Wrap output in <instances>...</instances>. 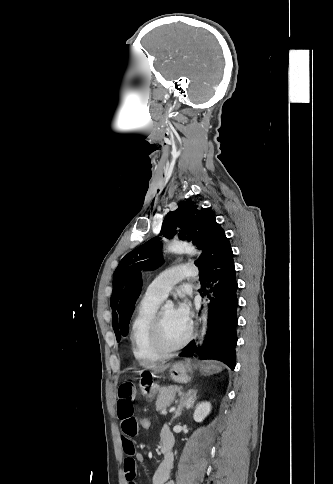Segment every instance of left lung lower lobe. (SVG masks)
I'll list each match as a JSON object with an SVG mask.
<instances>
[{
  "instance_id": "1",
  "label": "left lung lower lobe",
  "mask_w": 333,
  "mask_h": 484,
  "mask_svg": "<svg viewBox=\"0 0 333 484\" xmlns=\"http://www.w3.org/2000/svg\"><path fill=\"white\" fill-rule=\"evenodd\" d=\"M201 289L210 292L208 331L198 351L202 359H217L235 367L237 343V282L233 253L224 230L213 219L208 224L202 254L196 261ZM209 288V291L205 290ZM196 350L192 341L180 356L190 357Z\"/></svg>"
}]
</instances>
